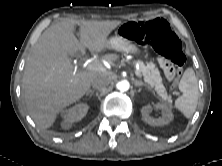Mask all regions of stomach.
Wrapping results in <instances>:
<instances>
[{"label": "stomach", "mask_w": 222, "mask_h": 166, "mask_svg": "<svg viewBox=\"0 0 222 166\" xmlns=\"http://www.w3.org/2000/svg\"><path fill=\"white\" fill-rule=\"evenodd\" d=\"M107 48L127 54H138L140 52L139 48L132 41L124 40L120 34H116L108 39Z\"/></svg>", "instance_id": "obj_1"}]
</instances>
